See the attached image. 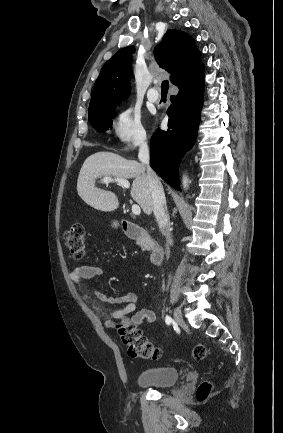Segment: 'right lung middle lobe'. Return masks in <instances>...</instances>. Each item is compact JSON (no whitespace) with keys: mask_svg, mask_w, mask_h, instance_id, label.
<instances>
[{"mask_svg":"<svg viewBox=\"0 0 283 433\" xmlns=\"http://www.w3.org/2000/svg\"><path fill=\"white\" fill-rule=\"evenodd\" d=\"M117 105L108 106L89 113L88 120L90 124L97 130L105 131L112 125V118L115 113Z\"/></svg>","mask_w":283,"mask_h":433,"instance_id":"right-lung-middle-lobe-1","label":"right lung middle lobe"}]
</instances>
